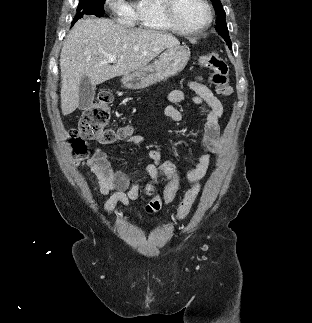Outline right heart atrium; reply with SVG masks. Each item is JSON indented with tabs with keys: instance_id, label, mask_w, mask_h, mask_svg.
<instances>
[{
	"instance_id": "right-heart-atrium-1",
	"label": "right heart atrium",
	"mask_w": 312,
	"mask_h": 323,
	"mask_svg": "<svg viewBox=\"0 0 312 323\" xmlns=\"http://www.w3.org/2000/svg\"><path fill=\"white\" fill-rule=\"evenodd\" d=\"M103 5H110L111 13H120L121 17H138V10H131L126 2H120V0H103Z\"/></svg>"
}]
</instances>
